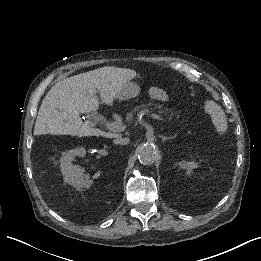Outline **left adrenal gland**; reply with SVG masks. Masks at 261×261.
Instances as JSON below:
<instances>
[{
  "instance_id": "obj_1",
  "label": "left adrenal gland",
  "mask_w": 261,
  "mask_h": 261,
  "mask_svg": "<svg viewBox=\"0 0 261 261\" xmlns=\"http://www.w3.org/2000/svg\"><path fill=\"white\" fill-rule=\"evenodd\" d=\"M158 137L161 138L163 141L170 139V137H166V136H163V135H159Z\"/></svg>"
}]
</instances>
